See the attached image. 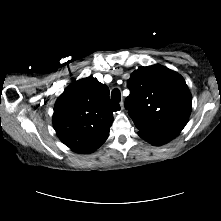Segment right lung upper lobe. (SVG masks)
I'll list each match as a JSON object with an SVG mask.
<instances>
[{
	"label": "right lung upper lobe",
	"mask_w": 221,
	"mask_h": 221,
	"mask_svg": "<svg viewBox=\"0 0 221 221\" xmlns=\"http://www.w3.org/2000/svg\"><path fill=\"white\" fill-rule=\"evenodd\" d=\"M120 106L109 88L92 76L68 86L54 106L53 125L60 140L78 153H91L107 139L113 112Z\"/></svg>",
	"instance_id": "1"
}]
</instances>
